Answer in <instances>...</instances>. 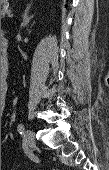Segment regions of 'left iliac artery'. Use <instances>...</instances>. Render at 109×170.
<instances>
[{
    "label": "left iliac artery",
    "instance_id": "1",
    "mask_svg": "<svg viewBox=\"0 0 109 170\" xmlns=\"http://www.w3.org/2000/svg\"><path fill=\"white\" fill-rule=\"evenodd\" d=\"M17 130L18 132L23 135L24 134V130H25V127L23 124H19L18 127H17Z\"/></svg>",
    "mask_w": 109,
    "mask_h": 170
}]
</instances>
